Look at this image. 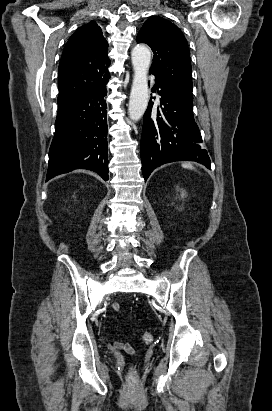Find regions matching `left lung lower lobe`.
<instances>
[{
    "label": "left lung lower lobe",
    "instance_id": "left-lung-lower-lobe-1",
    "mask_svg": "<svg viewBox=\"0 0 272 411\" xmlns=\"http://www.w3.org/2000/svg\"><path fill=\"white\" fill-rule=\"evenodd\" d=\"M160 107L149 102L141 137L142 173L145 180L158 166L174 161H196L207 168L211 162L202 146L190 99L155 80Z\"/></svg>",
    "mask_w": 272,
    "mask_h": 411
}]
</instances>
